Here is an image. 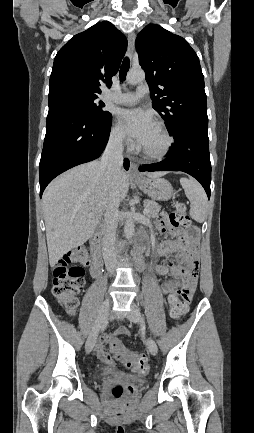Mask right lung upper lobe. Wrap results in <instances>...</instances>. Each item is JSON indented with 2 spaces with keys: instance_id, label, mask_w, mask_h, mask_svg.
Returning <instances> with one entry per match:
<instances>
[{
  "instance_id": "1",
  "label": "right lung upper lobe",
  "mask_w": 254,
  "mask_h": 433,
  "mask_svg": "<svg viewBox=\"0 0 254 433\" xmlns=\"http://www.w3.org/2000/svg\"><path fill=\"white\" fill-rule=\"evenodd\" d=\"M126 49V37L110 22H99L73 36L55 57L48 105L97 99L101 84L111 86Z\"/></svg>"
}]
</instances>
